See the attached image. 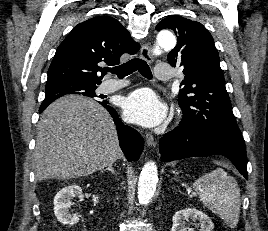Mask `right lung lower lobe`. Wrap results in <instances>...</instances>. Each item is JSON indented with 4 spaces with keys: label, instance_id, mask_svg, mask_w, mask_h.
<instances>
[{
    "label": "right lung lower lobe",
    "instance_id": "obj_1",
    "mask_svg": "<svg viewBox=\"0 0 268 231\" xmlns=\"http://www.w3.org/2000/svg\"><path fill=\"white\" fill-rule=\"evenodd\" d=\"M99 103L105 107L113 117V120L117 126L120 147L124 152L127 160L130 162L138 160L143 151V139L140 134L135 129L124 125L120 121L116 111L111 106H109L107 102ZM42 111L43 110H39L40 113Z\"/></svg>",
    "mask_w": 268,
    "mask_h": 231
}]
</instances>
